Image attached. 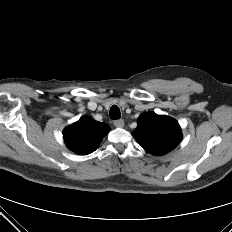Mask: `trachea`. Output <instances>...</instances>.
I'll list each match as a JSON object with an SVG mask.
<instances>
[{
  "instance_id": "trachea-1",
  "label": "trachea",
  "mask_w": 232,
  "mask_h": 232,
  "mask_svg": "<svg viewBox=\"0 0 232 232\" xmlns=\"http://www.w3.org/2000/svg\"><path fill=\"white\" fill-rule=\"evenodd\" d=\"M120 109L118 106L116 105H113L111 108H110V118L113 119V120H117V119H120Z\"/></svg>"
}]
</instances>
